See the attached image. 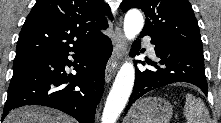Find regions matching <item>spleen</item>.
Masks as SVG:
<instances>
[{"label": "spleen", "instance_id": "obj_1", "mask_svg": "<svg viewBox=\"0 0 221 123\" xmlns=\"http://www.w3.org/2000/svg\"><path fill=\"white\" fill-rule=\"evenodd\" d=\"M184 116L187 123H211V118L203 100L192 94L185 95Z\"/></svg>", "mask_w": 221, "mask_h": 123}]
</instances>
